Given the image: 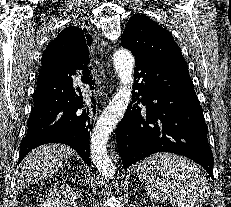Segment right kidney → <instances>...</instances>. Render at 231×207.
Segmentation results:
<instances>
[{"mask_svg": "<svg viewBox=\"0 0 231 207\" xmlns=\"http://www.w3.org/2000/svg\"><path fill=\"white\" fill-rule=\"evenodd\" d=\"M40 207H77V194L68 185L56 187L48 193Z\"/></svg>", "mask_w": 231, "mask_h": 207, "instance_id": "ca27d5eb", "label": "right kidney"}]
</instances>
